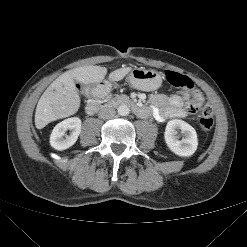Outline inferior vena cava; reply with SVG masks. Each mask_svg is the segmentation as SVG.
Segmentation results:
<instances>
[{
	"instance_id": "1",
	"label": "inferior vena cava",
	"mask_w": 247,
	"mask_h": 247,
	"mask_svg": "<svg viewBox=\"0 0 247 247\" xmlns=\"http://www.w3.org/2000/svg\"><path fill=\"white\" fill-rule=\"evenodd\" d=\"M115 114L116 112L113 108L104 107L99 111L98 116L101 119H111L115 116Z\"/></svg>"
}]
</instances>
